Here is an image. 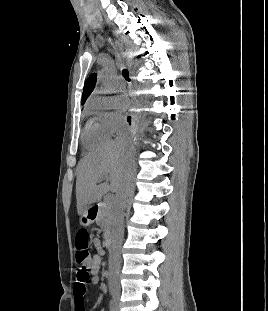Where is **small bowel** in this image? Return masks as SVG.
Wrapping results in <instances>:
<instances>
[{
	"label": "small bowel",
	"instance_id": "small-bowel-1",
	"mask_svg": "<svg viewBox=\"0 0 268 311\" xmlns=\"http://www.w3.org/2000/svg\"><path fill=\"white\" fill-rule=\"evenodd\" d=\"M93 246L95 249V254L91 258L89 264V272L91 276L90 283L95 285L100 280V275L102 271V256L104 255V250L98 238L93 239ZM84 295L85 293H81L79 291V283L76 282L73 289L75 311H86L84 304Z\"/></svg>",
	"mask_w": 268,
	"mask_h": 311
}]
</instances>
